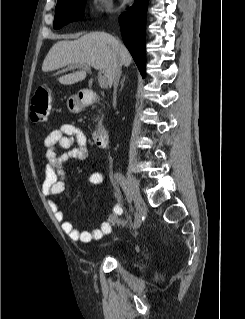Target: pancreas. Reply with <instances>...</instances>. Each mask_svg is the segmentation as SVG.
Segmentation results:
<instances>
[{
    "label": "pancreas",
    "instance_id": "1",
    "mask_svg": "<svg viewBox=\"0 0 245 319\" xmlns=\"http://www.w3.org/2000/svg\"><path fill=\"white\" fill-rule=\"evenodd\" d=\"M100 120H102L103 119V114H101V116L100 117H98Z\"/></svg>",
    "mask_w": 245,
    "mask_h": 319
}]
</instances>
